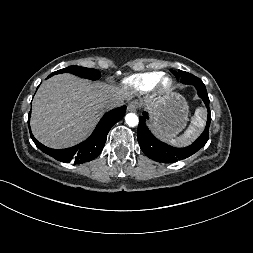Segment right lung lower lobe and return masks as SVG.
I'll list each match as a JSON object with an SVG mask.
<instances>
[{
	"mask_svg": "<svg viewBox=\"0 0 253 253\" xmlns=\"http://www.w3.org/2000/svg\"><path fill=\"white\" fill-rule=\"evenodd\" d=\"M51 77V75L49 76ZM126 106L113 109L106 113L99 121L92 135L84 142L67 149H51L38 142L31 133L30 135L36 146L46 154L62 162H74L81 164L95 159L103 150L106 136L110 128L125 115ZM28 116V125L30 120ZM30 129V126H29Z\"/></svg>",
	"mask_w": 253,
	"mask_h": 253,
	"instance_id": "98d812e1",
	"label": "right lung lower lobe"
}]
</instances>
